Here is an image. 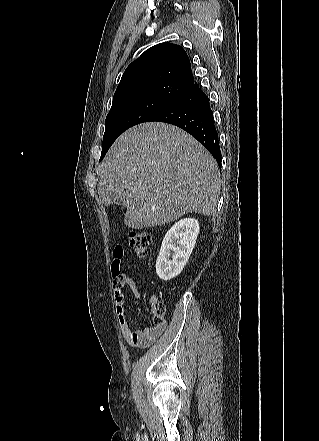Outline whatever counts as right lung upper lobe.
<instances>
[{
    "label": "right lung upper lobe",
    "instance_id": "cb5924a9",
    "mask_svg": "<svg viewBox=\"0 0 319 441\" xmlns=\"http://www.w3.org/2000/svg\"><path fill=\"white\" fill-rule=\"evenodd\" d=\"M193 84L185 50L176 44L161 43L146 50L127 67L113 96L112 106L140 97L173 102Z\"/></svg>",
    "mask_w": 319,
    "mask_h": 441
}]
</instances>
